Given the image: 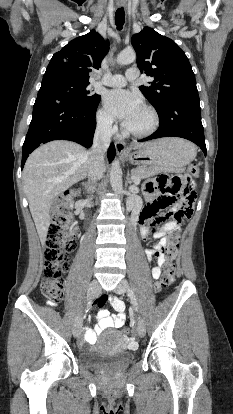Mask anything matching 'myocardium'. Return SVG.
I'll list each match as a JSON object with an SVG mask.
<instances>
[{"instance_id": "f54148a6", "label": "myocardium", "mask_w": 233, "mask_h": 414, "mask_svg": "<svg viewBox=\"0 0 233 414\" xmlns=\"http://www.w3.org/2000/svg\"><path fill=\"white\" fill-rule=\"evenodd\" d=\"M143 109L150 115L151 117V124L150 126L143 130V131H134L129 129L126 125H124L123 130L124 133L132 136L134 138H145L152 135L159 127L160 118L157 111L151 106H144Z\"/></svg>"}]
</instances>
